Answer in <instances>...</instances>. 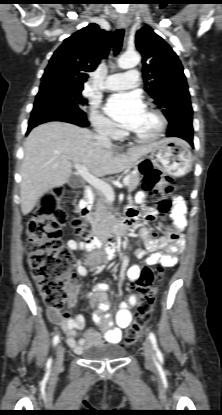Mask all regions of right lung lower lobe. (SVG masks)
<instances>
[{"instance_id":"right-lung-lower-lobe-1","label":"right lung lower lobe","mask_w":222,"mask_h":415,"mask_svg":"<svg viewBox=\"0 0 222 415\" xmlns=\"http://www.w3.org/2000/svg\"><path fill=\"white\" fill-rule=\"evenodd\" d=\"M59 83L46 82L40 86L31 112L27 133L35 126L49 121H63L87 127L86 114L65 94Z\"/></svg>"}]
</instances>
